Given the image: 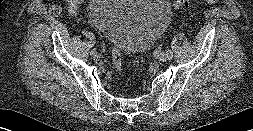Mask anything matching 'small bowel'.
Instances as JSON below:
<instances>
[{
	"label": "small bowel",
	"instance_id": "1",
	"mask_svg": "<svg viewBox=\"0 0 253 131\" xmlns=\"http://www.w3.org/2000/svg\"><path fill=\"white\" fill-rule=\"evenodd\" d=\"M68 3V8L71 14H76L78 5L81 4L84 0H66Z\"/></svg>",
	"mask_w": 253,
	"mask_h": 131
}]
</instances>
